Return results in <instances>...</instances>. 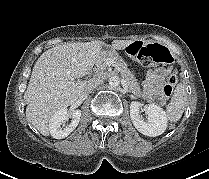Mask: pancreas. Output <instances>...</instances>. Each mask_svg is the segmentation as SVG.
<instances>
[{"label":"pancreas","mask_w":209,"mask_h":179,"mask_svg":"<svg viewBox=\"0 0 209 179\" xmlns=\"http://www.w3.org/2000/svg\"><path fill=\"white\" fill-rule=\"evenodd\" d=\"M111 58L114 64L119 68L120 74L122 78L126 81L129 90L136 96H139L140 86L134 77L133 73L128 69L127 64L125 61L114 51H107L103 52V56L98 60L96 63V69L94 76L96 78H105L107 75L106 67L107 63L106 60Z\"/></svg>","instance_id":"obj_1"}]
</instances>
